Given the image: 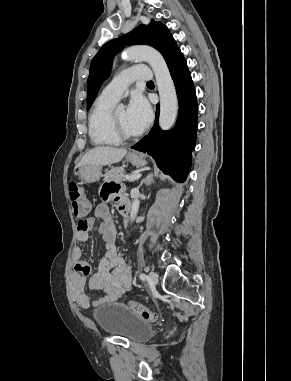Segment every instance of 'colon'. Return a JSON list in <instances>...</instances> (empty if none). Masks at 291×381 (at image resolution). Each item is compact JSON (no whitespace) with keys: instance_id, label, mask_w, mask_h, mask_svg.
Wrapping results in <instances>:
<instances>
[{"instance_id":"1","label":"colon","mask_w":291,"mask_h":381,"mask_svg":"<svg viewBox=\"0 0 291 381\" xmlns=\"http://www.w3.org/2000/svg\"><path fill=\"white\" fill-rule=\"evenodd\" d=\"M106 190H108V188ZM69 196L73 214L80 219V229L85 230L87 228L86 221L89 219L91 209L90 202L83 195L79 185L75 181H72L69 185ZM128 306L134 314L147 322H155L158 319V315L154 311L149 310L141 303L130 301L128 302Z\"/></svg>"}]
</instances>
